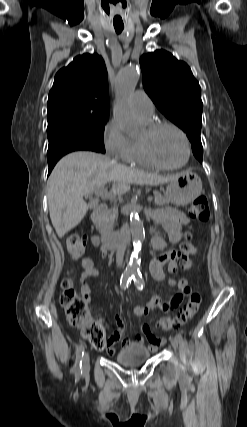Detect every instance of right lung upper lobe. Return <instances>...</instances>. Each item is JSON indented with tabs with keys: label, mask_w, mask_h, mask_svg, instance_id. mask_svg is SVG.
<instances>
[{
	"label": "right lung upper lobe",
	"mask_w": 247,
	"mask_h": 427,
	"mask_svg": "<svg viewBox=\"0 0 247 427\" xmlns=\"http://www.w3.org/2000/svg\"><path fill=\"white\" fill-rule=\"evenodd\" d=\"M65 108L109 109L108 75L101 56H77L57 72L47 114Z\"/></svg>",
	"instance_id": "right-lung-upper-lobe-1"
}]
</instances>
